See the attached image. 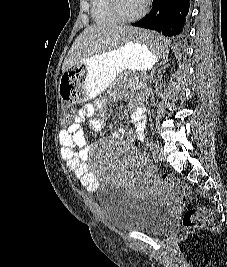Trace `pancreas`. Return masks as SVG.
<instances>
[{"mask_svg": "<svg viewBox=\"0 0 227 267\" xmlns=\"http://www.w3.org/2000/svg\"><path fill=\"white\" fill-rule=\"evenodd\" d=\"M115 84H121L124 87H129L137 90H141L144 88V83L142 82V79H140V77L135 74L129 76L126 73H122L115 81Z\"/></svg>", "mask_w": 227, "mask_h": 267, "instance_id": "cf45deb5", "label": "pancreas"}]
</instances>
